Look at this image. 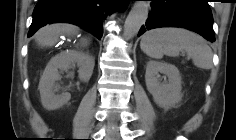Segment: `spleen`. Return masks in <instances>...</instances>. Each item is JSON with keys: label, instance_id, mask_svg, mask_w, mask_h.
Masks as SVG:
<instances>
[{"label": "spleen", "instance_id": "1", "mask_svg": "<svg viewBox=\"0 0 236 140\" xmlns=\"http://www.w3.org/2000/svg\"><path fill=\"white\" fill-rule=\"evenodd\" d=\"M141 50L151 58L176 57L185 51L196 67H212V50L199 35L181 28H159L148 31L141 39Z\"/></svg>", "mask_w": 236, "mask_h": 140}]
</instances>
